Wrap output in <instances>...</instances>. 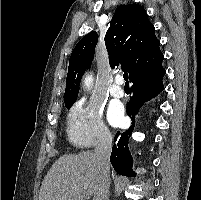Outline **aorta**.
Here are the masks:
<instances>
[{"label": "aorta", "mask_w": 201, "mask_h": 200, "mask_svg": "<svg viewBox=\"0 0 201 200\" xmlns=\"http://www.w3.org/2000/svg\"><path fill=\"white\" fill-rule=\"evenodd\" d=\"M92 81H93L92 75H87V76L85 77V81H84L86 87H90L91 84H92Z\"/></svg>", "instance_id": "obj_1"}]
</instances>
